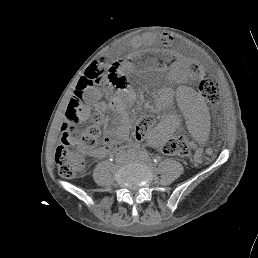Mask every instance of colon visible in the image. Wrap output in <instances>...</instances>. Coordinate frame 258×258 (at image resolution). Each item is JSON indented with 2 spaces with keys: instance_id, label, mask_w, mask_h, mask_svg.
Segmentation results:
<instances>
[{
  "instance_id": "colon-1",
  "label": "colon",
  "mask_w": 258,
  "mask_h": 258,
  "mask_svg": "<svg viewBox=\"0 0 258 258\" xmlns=\"http://www.w3.org/2000/svg\"><path fill=\"white\" fill-rule=\"evenodd\" d=\"M168 38H163V43H168ZM119 64H111L108 68V78L117 88L126 86V78L119 70ZM105 65L95 62L89 66L85 75L79 80L76 97L69 103L66 112L67 123L62 128L63 141L55 152V161L59 174L64 178H73L85 165V157L89 150L98 147L101 143V133L96 124L100 118L92 116L94 125H81V111H83L82 95L99 85L104 72ZM201 95L211 104H217L220 100L219 83L214 76L205 75L199 83ZM85 110V109H84ZM155 120L150 116H141L135 124V133L146 135L154 126ZM123 135L122 133L109 134V146H117ZM163 151L168 155L186 156L189 147L185 137L178 135L170 138L164 144Z\"/></svg>"
}]
</instances>
